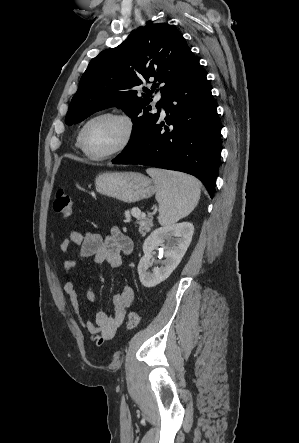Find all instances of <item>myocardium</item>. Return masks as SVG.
Listing matches in <instances>:
<instances>
[{"label":"myocardium","mask_w":299,"mask_h":443,"mask_svg":"<svg viewBox=\"0 0 299 443\" xmlns=\"http://www.w3.org/2000/svg\"><path fill=\"white\" fill-rule=\"evenodd\" d=\"M114 118L119 121H121L125 127V135L121 143L114 148L113 150L104 153V154H93L91 153L85 144V134L88 126L94 122L97 119L100 118ZM135 134V125L133 119L127 115L126 113L118 112V111H104L100 112L94 116H92L90 119L86 121V123L81 128L80 134H79V147L83 151V153L93 160H105L111 157H114L120 153H122L132 142Z\"/></svg>","instance_id":"myocardium-1"}]
</instances>
